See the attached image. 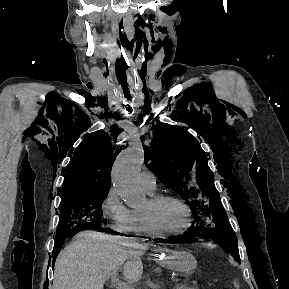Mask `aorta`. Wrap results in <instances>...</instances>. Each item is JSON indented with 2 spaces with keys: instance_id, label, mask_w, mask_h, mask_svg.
<instances>
[{
  "instance_id": "1",
  "label": "aorta",
  "mask_w": 289,
  "mask_h": 289,
  "mask_svg": "<svg viewBox=\"0 0 289 289\" xmlns=\"http://www.w3.org/2000/svg\"><path fill=\"white\" fill-rule=\"evenodd\" d=\"M143 163V146L139 140H134L117 157L112 169V183L129 207H138L146 200L145 193L138 183Z\"/></svg>"
}]
</instances>
